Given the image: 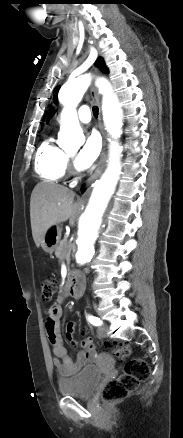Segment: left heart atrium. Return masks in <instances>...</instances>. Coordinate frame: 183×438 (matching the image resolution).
I'll use <instances>...</instances> for the list:
<instances>
[{"instance_id":"1","label":"left heart atrium","mask_w":183,"mask_h":438,"mask_svg":"<svg viewBox=\"0 0 183 438\" xmlns=\"http://www.w3.org/2000/svg\"><path fill=\"white\" fill-rule=\"evenodd\" d=\"M101 151V140L96 133L87 136L84 146L76 158V164L80 169L90 167L98 158Z\"/></svg>"}]
</instances>
